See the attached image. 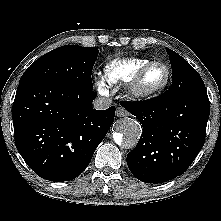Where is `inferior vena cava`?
Segmentation results:
<instances>
[{"label":"inferior vena cava","mask_w":221,"mask_h":221,"mask_svg":"<svg viewBox=\"0 0 221 221\" xmlns=\"http://www.w3.org/2000/svg\"><path fill=\"white\" fill-rule=\"evenodd\" d=\"M111 99L106 97H99L94 100L93 107L97 110H105L111 106Z\"/></svg>","instance_id":"inferior-vena-cava-1"}]
</instances>
